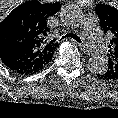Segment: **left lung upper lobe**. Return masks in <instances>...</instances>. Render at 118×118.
I'll use <instances>...</instances> for the list:
<instances>
[{"mask_svg": "<svg viewBox=\"0 0 118 118\" xmlns=\"http://www.w3.org/2000/svg\"><path fill=\"white\" fill-rule=\"evenodd\" d=\"M95 10L101 27L111 39L108 46L110 48L108 69L100 77L107 80H118V10L105 4H98Z\"/></svg>", "mask_w": 118, "mask_h": 118, "instance_id": "1", "label": "left lung upper lobe"}]
</instances>
